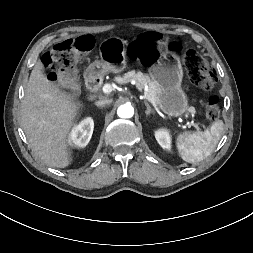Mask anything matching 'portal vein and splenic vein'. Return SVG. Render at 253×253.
I'll use <instances>...</instances> for the list:
<instances>
[{
  "instance_id": "obj_1",
  "label": "portal vein and splenic vein",
  "mask_w": 253,
  "mask_h": 253,
  "mask_svg": "<svg viewBox=\"0 0 253 253\" xmlns=\"http://www.w3.org/2000/svg\"><path fill=\"white\" fill-rule=\"evenodd\" d=\"M102 92L104 94H109L112 92V86L110 84H105L103 87H102ZM144 99L148 100L149 102H151L154 106H156V103L155 101L150 98L148 95H146V93H144L143 95ZM187 126H193L198 132H200V127L194 123V122H190V121H187L186 122Z\"/></svg>"
}]
</instances>
